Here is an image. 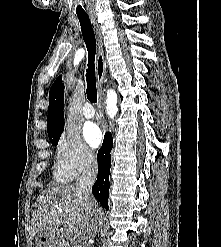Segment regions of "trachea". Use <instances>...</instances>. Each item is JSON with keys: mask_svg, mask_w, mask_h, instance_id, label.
<instances>
[{"mask_svg": "<svg viewBox=\"0 0 221 247\" xmlns=\"http://www.w3.org/2000/svg\"><path fill=\"white\" fill-rule=\"evenodd\" d=\"M82 35L88 50V69L86 73V81H87V98L90 102H97V88H96V80H95V69H94V60L96 54V40L95 34L87 14H77Z\"/></svg>", "mask_w": 221, "mask_h": 247, "instance_id": "obj_1", "label": "trachea"}]
</instances>
